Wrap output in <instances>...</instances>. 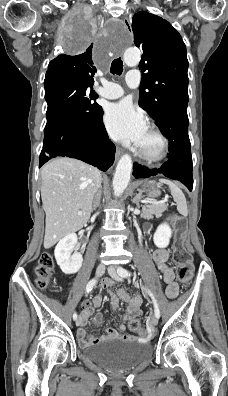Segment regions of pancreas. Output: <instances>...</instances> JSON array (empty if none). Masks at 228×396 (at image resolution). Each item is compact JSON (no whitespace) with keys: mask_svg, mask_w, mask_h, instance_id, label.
Wrapping results in <instances>:
<instances>
[{"mask_svg":"<svg viewBox=\"0 0 228 396\" xmlns=\"http://www.w3.org/2000/svg\"><path fill=\"white\" fill-rule=\"evenodd\" d=\"M166 209L167 205L164 203L145 205L143 210L146 212L147 216H144V219L153 220L154 216L152 214L161 215Z\"/></svg>","mask_w":228,"mask_h":396,"instance_id":"obj_1","label":"pancreas"}]
</instances>
